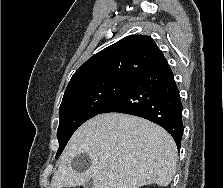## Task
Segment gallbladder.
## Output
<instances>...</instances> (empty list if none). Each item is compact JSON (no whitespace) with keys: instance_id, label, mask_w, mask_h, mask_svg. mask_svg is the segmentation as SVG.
Returning a JSON list of instances; mask_svg holds the SVG:
<instances>
[{"instance_id":"1","label":"gallbladder","mask_w":224,"mask_h":188,"mask_svg":"<svg viewBox=\"0 0 224 188\" xmlns=\"http://www.w3.org/2000/svg\"><path fill=\"white\" fill-rule=\"evenodd\" d=\"M84 188H93V181L85 182L83 184Z\"/></svg>"}]
</instances>
